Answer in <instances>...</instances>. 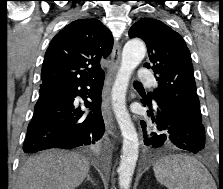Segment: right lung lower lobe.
<instances>
[{
	"mask_svg": "<svg viewBox=\"0 0 223 189\" xmlns=\"http://www.w3.org/2000/svg\"><path fill=\"white\" fill-rule=\"evenodd\" d=\"M104 74L94 81L73 86L40 89V97L29 123L23 145L25 153L49 148L71 149L93 145L102 137L105 127L101 115V92ZM86 114L77 108L75 97L86 99Z\"/></svg>",
	"mask_w": 223,
	"mask_h": 189,
	"instance_id": "right-lung-lower-lobe-1",
	"label": "right lung lower lobe"
}]
</instances>
